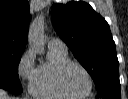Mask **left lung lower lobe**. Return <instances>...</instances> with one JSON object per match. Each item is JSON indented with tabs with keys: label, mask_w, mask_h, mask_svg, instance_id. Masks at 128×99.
<instances>
[{
	"label": "left lung lower lobe",
	"mask_w": 128,
	"mask_h": 99,
	"mask_svg": "<svg viewBox=\"0 0 128 99\" xmlns=\"http://www.w3.org/2000/svg\"><path fill=\"white\" fill-rule=\"evenodd\" d=\"M97 98L121 99L120 82H111L103 86L96 95Z\"/></svg>",
	"instance_id": "0a47b994"
}]
</instances>
